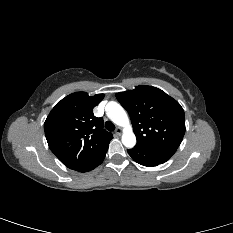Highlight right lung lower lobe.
Here are the masks:
<instances>
[{"instance_id": "98d812e1", "label": "right lung lower lobe", "mask_w": 233, "mask_h": 233, "mask_svg": "<svg viewBox=\"0 0 233 233\" xmlns=\"http://www.w3.org/2000/svg\"><path fill=\"white\" fill-rule=\"evenodd\" d=\"M107 150L96 161H94L90 166H88L83 172L90 171L94 169L95 167H97L98 165H100L105 158Z\"/></svg>"}]
</instances>
